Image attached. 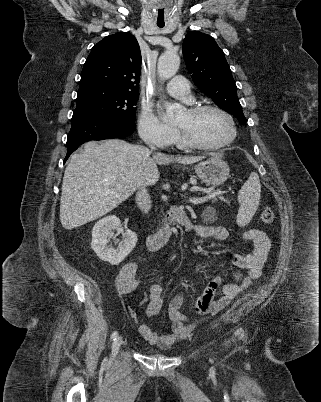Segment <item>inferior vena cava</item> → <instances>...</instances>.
<instances>
[{"mask_svg":"<svg viewBox=\"0 0 321 402\" xmlns=\"http://www.w3.org/2000/svg\"><path fill=\"white\" fill-rule=\"evenodd\" d=\"M149 147L153 150L154 146L149 144ZM136 203L143 213H148L151 209V199L145 187L138 189L136 193Z\"/></svg>","mask_w":321,"mask_h":402,"instance_id":"602c4592","label":"inferior vena cava"}]
</instances>
